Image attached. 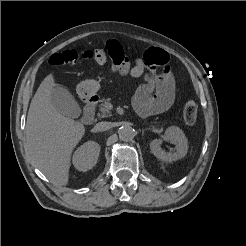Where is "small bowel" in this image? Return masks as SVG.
Segmentation results:
<instances>
[{"label":"small bowel","instance_id":"1","mask_svg":"<svg viewBox=\"0 0 246 246\" xmlns=\"http://www.w3.org/2000/svg\"><path fill=\"white\" fill-rule=\"evenodd\" d=\"M107 46L118 47L123 53L120 61L113 62L112 71L114 73L142 79L133 99L134 109L140 116L148 117L159 114L173 105L175 81L167 66L169 62L167 52L160 48H150L133 66H130L122 46L117 41H108ZM158 66H164V71L160 74L156 73Z\"/></svg>","mask_w":246,"mask_h":246}]
</instances>
